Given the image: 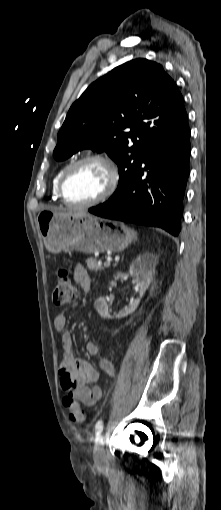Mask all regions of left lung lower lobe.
Masks as SVG:
<instances>
[{
	"label": "left lung lower lobe",
	"mask_w": 221,
	"mask_h": 510,
	"mask_svg": "<svg viewBox=\"0 0 221 510\" xmlns=\"http://www.w3.org/2000/svg\"><path fill=\"white\" fill-rule=\"evenodd\" d=\"M189 138L187 123L153 142L129 185L107 202L90 208L89 212L104 218L160 227L178 236L189 176ZM144 172L146 177L142 178Z\"/></svg>",
	"instance_id": "obj_1"
}]
</instances>
